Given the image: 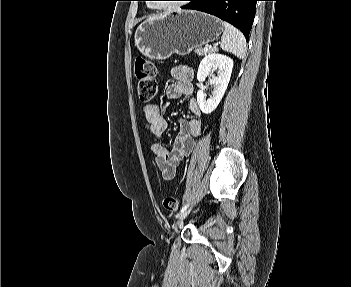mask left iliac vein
<instances>
[{
	"label": "left iliac vein",
	"instance_id": "4c4485c4",
	"mask_svg": "<svg viewBox=\"0 0 351 287\" xmlns=\"http://www.w3.org/2000/svg\"><path fill=\"white\" fill-rule=\"evenodd\" d=\"M192 206L188 207L183 213H181L178 216V221L176 223V227L175 230H177L178 226H180L182 224V221L185 219V217L187 216V214L191 211Z\"/></svg>",
	"mask_w": 351,
	"mask_h": 287
}]
</instances>
